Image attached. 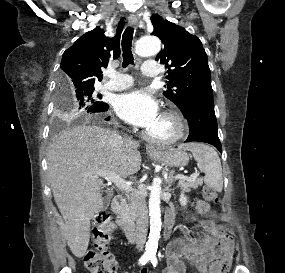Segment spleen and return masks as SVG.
I'll use <instances>...</instances> for the list:
<instances>
[{"mask_svg":"<svg viewBox=\"0 0 285 273\" xmlns=\"http://www.w3.org/2000/svg\"><path fill=\"white\" fill-rule=\"evenodd\" d=\"M180 148L192 152L198 168L205 174L204 182L206 185L218 192L222 191V167L217 152L213 148L201 143L181 145Z\"/></svg>","mask_w":285,"mask_h":273,"instance_id":"3e777b00","label":"spleen"}]
</instances>
